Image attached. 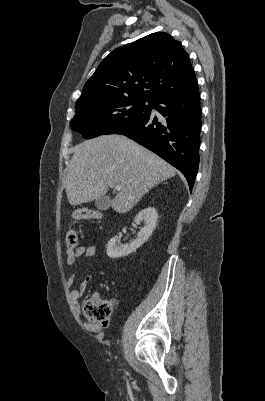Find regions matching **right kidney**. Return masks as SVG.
Segmentation results:
<instances>
[{
    "mask_svg": "<svg viewBox=\"0 0 265 401\" xmlns=\"http://www.w3.org/2000/svg\"><path fill=\"white\" fill-rule=\"evenodd\" d=\"M141 221H144L145 225L139 231L136 239L130 241L129 245H116L117 237H112L107 245V255L111 259H118V257H126L130 253H134L136 249H139L145 241H148L153 231L156 229L158 215L154 207H148V209H142L134 219L136 225H140Z\"/></svg>",
    "mask_w": 265,
    "mask_h": 401,
    "instance_id": "1",
    "label": "right kidney"
}]
</instances>
